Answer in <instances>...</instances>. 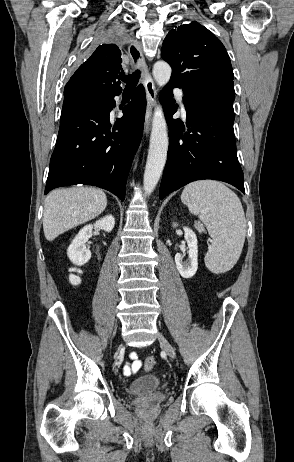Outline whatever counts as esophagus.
Returning <instances> with one entry per match:
<instances>
[{
  "instance_id": "esophagus-1",
  "label": "esophagus",
  "mask_w": 294,
  "mask_h": 462,
  "mask_svg": "<svg viewBox=\"0 0 294 462\" xmlns=\"http://www.w3.org/2000/svg\"><path fill=\"white\" fill-rule=\"evenodd\" d=\"M128 52L133 65L137 68H140L142 71L141 81L145 87L147 100L145 132L148 133L150 128L151 114L156 100V88L153 78L145 62L142 45L138 41H133L128 48Z\"/></svg>"
}]
</instances>
